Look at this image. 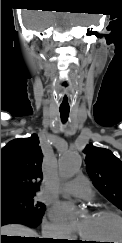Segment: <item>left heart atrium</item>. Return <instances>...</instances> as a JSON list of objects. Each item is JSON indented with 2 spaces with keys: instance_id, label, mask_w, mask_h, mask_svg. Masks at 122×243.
<instances>
[{
  "instance_id": "obj_1",
  "label": "left heart atrium",
  "mask_w": 122,
  "mask_h": 243,
  "mask_svg": "<svg viewBox=\"0 0 122 243\" xmlns=\"http://www.w3.org/2000/svg\"><path fill=\"white\" fill-rule=\"evenodd\" d=\"M52 216L63 226L69 229H77L81 231V223H77L74 219L73 210L67 203L56 205L52 212Z\"/></svg>"
}]
</instances>
